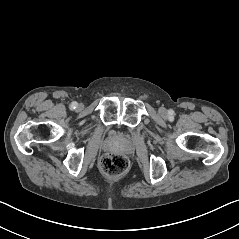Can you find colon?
Returning a JSON list of instances; mask_svg holds the SVG:
<instances>
[{
    "label": "colon",
    "mask_w": 239,
    "mask_h": 239,
    "mask_svg": "<svg viewBox=\"0 0 239 239\" xmlns=\"http://www.w3.org/2000/svg\"><path fill=\"white\" fill-rule=\"evenodd\" d=\"M128 168V159L121 154L109 153L101 160V169L108 176H117Z\"/></svg>",
    "instance_id": "5ec220e1"
}]
</instances>
